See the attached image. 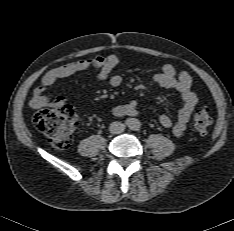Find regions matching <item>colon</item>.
<instances>
[{
    "label": "colon",
    "mask_w": 234,
    "mask_h": 231,
    "mask_svg": "<svg viewBox=\"0 0 234 231\" xmlns=\"http://www.w3.org/2000/svg\"><path fill=\"white\" fill-rule=\"evenodd\" d=\"M77 112L71 107H59L57 109H45L37 112L34 116V125L43 133L50 145L58 150L67 149L71 144L73 129L78 124ZM212 119L209 112L204 108L195 110L193 125L199 132H206L211 125Z\"/></svg>",
    "instance_id": "colon-1"
}]
</instances>
